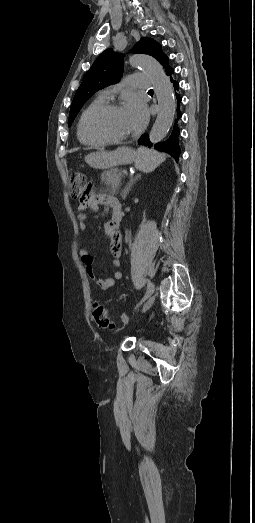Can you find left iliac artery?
<instances>
[{
    "instance_id": "left-iliac-artery-1",
    "label": "left iliac artery",
    "mask_w": 255,
    "mask_h": 523,
    "mask_svg": "<svg viewBox=\"0 0 255 523\" xmlns=\"http://www.w3.org/2000/svg\"><path fill=\"white\" fill-rule=\"evenodd\" d=\"M153 292H154V288L147 287V291H146L144 298L137 304V306L135 308H137L140 304H142V302H144Z\"/></svg>"
}]
</instances>
